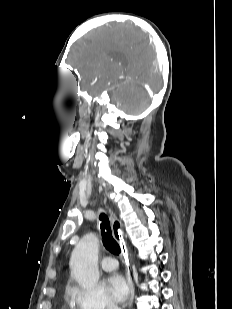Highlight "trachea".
<instances>
[{
    "instance_id": "trachea-1",
    "label": "trachea",
    "mask_w": 232,
    "mask_h": 309,
    "mask_svg": "<svg viewBox=\"0 0 232 309\" xmlns=\"http://www.w3.org/2000/svg\"><path fill=\"white\" fill-rule=\"evenodd\" d=\"M99 219L101 222L100 223L101 235L103 237V243L105 247L112 253L119 255L121 253V249L119 244L112 235L109 218L104 213H101Z\"/></svg>"
}]
</instances>
